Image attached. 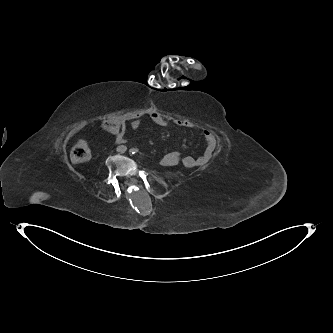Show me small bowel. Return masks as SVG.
I'll return each mask as SVG.
<instances>
[{"mask_svg": "<svg viewBox=\"0 0 333 333\" xmlns=\"http://www.w3.org/2000/svg\"><path fill=\"white\" fill-rule=\"evenodd\" d=\"M149 118L158 126H168L172 121L166 116L158 113L151 112ZM142 115L141 114H128L111 117L108 120L101 122V129L111 135L115 136L116 142L118 144H124L127 142V131L130 129L132 131L137 130L141 125ZM178 126L197 130V127L187 120L174 121ZM203 137L206 143L204 151L197 157L193 156H183L180 153V157L177 160L168 161V163L163 164V166L173 167L176 165H183L186 168H198L206 165L213 155V151L216 145V137L210 130L203 131Z\"/></svg>", "mask_w": 333, "mask_h": 333, "instance_id": "c3829d8e", "label": "small bowel"}]
</instances>
